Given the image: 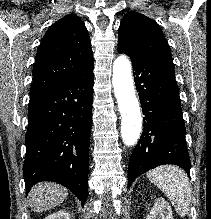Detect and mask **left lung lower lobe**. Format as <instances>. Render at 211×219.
Wrapping results in <instances>:
<instances>
[{
  "label": "left lung lower lobe",
  "instance_id": "1",
  "mask_svg": "<svg viewBox=\"0 0 211 219\" xmlns=\"http://www.w3.org/2000/svg\"><path fill=\"white\" fill-rule=\"evenodd\" d=\"M118 51L132 60L145 115L142 136L129 159L128 187L141 174L163 164L178 165L189 173L190 157L173 61Z\"/></svg>",
  "mask_w": 211,
  "mask_h": 219
}]
</instances>
